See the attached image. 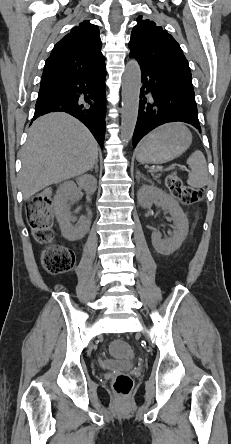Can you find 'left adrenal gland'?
<instances>
[{
	"instance_id": "obj_1",
	"label": "left adrenal gland",
	"mask_w": 231,
	"mask_h": 444,
	"mask_svg": "<svg viewBox=\"0 0 231 444\" xmlns=\"http://www.w3.org/2000/svg\"><path fill=\"white\" fill-rule=\"evenodd\" d=\"M140 178L149 181L139 170L136 171V179L140 180Z\"/></svg>"
}]
</instances>
